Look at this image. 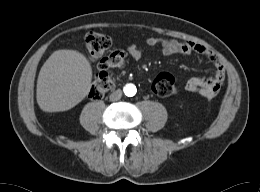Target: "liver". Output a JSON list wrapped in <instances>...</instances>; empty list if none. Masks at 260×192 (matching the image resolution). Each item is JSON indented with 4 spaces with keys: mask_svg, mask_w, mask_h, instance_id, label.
<instances>
[{
    "mask_svg": "<svg viewBox=\"0 0 260 192\" xmlns=\"http://www.w3.org/2000/svg\"><path fill=\"white\" fill-rule=\"evenodd\" d=\"M92 68L77 50H57L43 64L37 79L36 99L45 112L66 111L89 93Z\"/></svg>",
    "mask_w": 260,
    "mask_h": 192,
    "instance_id": "liver-1",
    "label": "liver"
}]
</instances>
